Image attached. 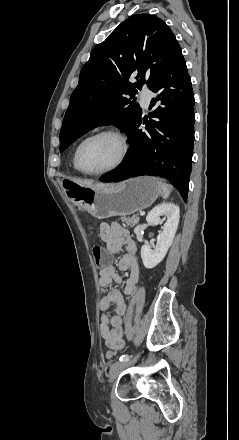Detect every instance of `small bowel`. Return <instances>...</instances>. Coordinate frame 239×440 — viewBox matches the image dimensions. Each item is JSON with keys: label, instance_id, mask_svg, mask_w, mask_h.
I'll use <instances>...</instances> for the list:
<instances>
[{"label": "small bowel", "instance_id": "1", "mask_svg": "<svg viewBox=\"0 0 239 440\" xmlns=\"http://www.w3.org/2000/svg\"><path fill=\"white\" fill-rule=\"evenodd\" d=\"M100 236L105 242L109 263L99 271V285L108 288L112 283L122 284L123 293L112 289L99 301V308L102 311L100 318V332L108 348L119 350L124 346L123 340V315L126 312L124 295H131L139 281L140 263L137 254L135 240L127 229L118 223H102L100 226ZM125 247L127 253L118 261V268L126 271L129 275L122 278L115 267L111 264L112 255ZM114 304L115 314L109 316L107 310Z\"/></svg>", "mask_w": 239, "mask_h": 440}]
</instances>
